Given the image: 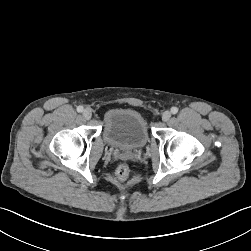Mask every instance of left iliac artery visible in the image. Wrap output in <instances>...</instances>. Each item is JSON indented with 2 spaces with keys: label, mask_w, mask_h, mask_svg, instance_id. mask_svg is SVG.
<instances>
[{
  "label": "left iliac artery",
  "mask_w": 251,
  "mask_h": 251,
  "mask_svg": "<svg viewBox=\"0 0 251 251\" xmlns=\"http://www.w3.org/2000/svg\"><path fill=\"white\" fill-rule=\"evenodd\" d=\"M178 112V108L177 107H172L171 108V113L172 114H176Z\"/></svg>",
  "instance_id": "obj_1"
}]
</instances>
